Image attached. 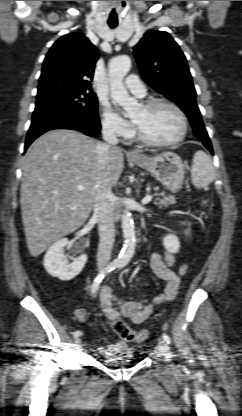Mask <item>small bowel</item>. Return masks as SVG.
Here are the masks:
<instances>
[{"label":"small bowel","instance_id":"c3829d8e","mask_svg":"<svg viewBox=\"0 0 242 416\" xmlns=\"http://www.w3.org/2000/svg\"><path fill=\"white\" fill-rule=\"evenodd\" d=\"M150 267L153 273L166 282V288L163 294L157 296L152 303L144 304L141 301L131 300L122 301L112 293L109 286H103L100 289L99 299L101 309L105 317L113 321L115 319H127L133 324L143 323L150 315L154 305L171 301L175 298L180 277L186 272V265L175 268V257L168 253H154L150 258ZM87 313L84 308H78L75 311V319L79 322H85ZM124 343L117 342L111 346H98L97 352L101 355H108L123 349Z\"/></svg>","mask_w":242,"mask_h":416}]
</instances>
